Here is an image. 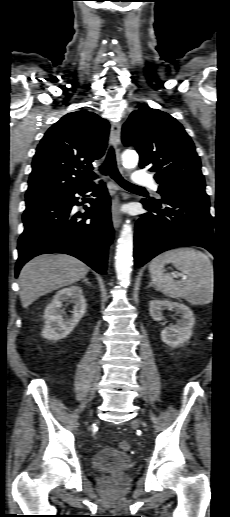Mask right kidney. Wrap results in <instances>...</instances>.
Masks as SVG:
<instances>
[{"instance_id": "obj_1", "label": "right kidney", "mask_w": 230, "mask_h": 517, "mask_svg": "<svg viewBox=\"0 0 230 517\" xmlns=\"http://www.w3.org/2000/svg\"><path fill=\"white\" fill-rule=\"evenodd\" d=\"M63 302L74 304L71 317L65 315L62 309ZM86 306V300L81 287L70 286L59 290L45 309L43 316L45 325L42 330L43 338L57 341L67 337L85 315Z\"/></svg>"}]
</instances>
